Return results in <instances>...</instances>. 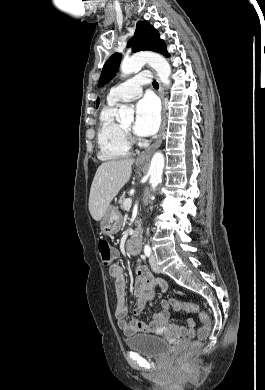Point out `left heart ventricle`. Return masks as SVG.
Here are the masks:
<instances>
[{"label":"left heart ventricle","instance_id":"obj_1","mask_svg":"<svg viewBox=\"0 0 265 390\" xmlns=\"http://www.w3.org/2000/svg\"><path fill=\"white\" fill-rule=\"evenodd\" d=\"M123 127H125L126 129H129V130H132V128H133V121L128 122Z\"/></svg>","mask_w":265,"mask_h":390}]
</instances>
